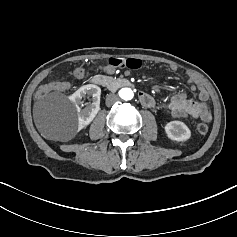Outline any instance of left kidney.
Wrapping results in <instances>:
<instances>
[{
  "mask_svg": "<svg viewBox=\"0 0 237 237\" xmlns=\"http://www.w3.org/2000/svg\"><path fill=\"white\" fill-rule=\"evenodd\" d=\"M165 131L168 138L175 141H186L191 137L190 129L181 121H171L167 123Z\"/></svg>",
  "mask_w": 237,
  "mask_h": 237,
  "instance_id": "5707ae66",
  "label": "left kidney"
}]
</instances>
